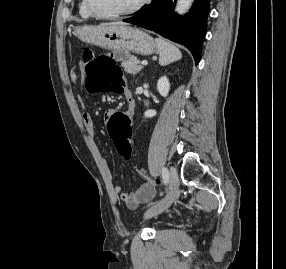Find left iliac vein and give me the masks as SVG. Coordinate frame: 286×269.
I'll list each match as a JSON object with an SVG mask.
<instances>
[{"mask_svg":"<svg viewBox=\"0 0 286 269\" xmlns=\"http://www.w3.org/2000/svg\"><path fill=\"white\" fill-rule=\"evenodd\" d=\"M170 187L169 192L164 199L151 207L146 212V218L157 216L168 209L173 203L179 188V178L175 167H170Z\"/></svg>","mask_w":286,"mask_h":269,"instance_id":"left-iliac-vein-1","label":"left iliac vein"}]
</instances>
